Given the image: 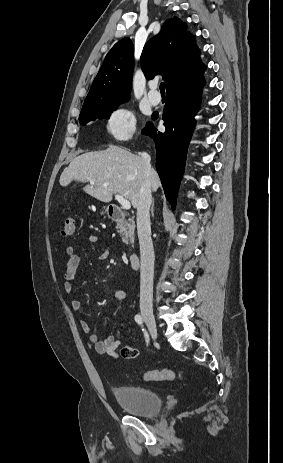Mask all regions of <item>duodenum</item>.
<instances>
[{
  "label": "duodenum",
  "mask_w": 283,
  "mask_h": 463,
  "mask_svg": "<svg viewBox=\"0 0 283 463\" xmlns=\"http://www.w3.org/2000/svg\"><path fill=\"white\" fill-rule=\"evenodd\" d=\"M108 212L113 221H123L125 219V213L116 205H109ZM139 261L140 259L137 254H131L129 256V263L133 269H137L139 267Z\"/></svg>",
  "instance_id": "duodenum-1"
}]
</instances>
